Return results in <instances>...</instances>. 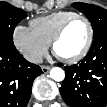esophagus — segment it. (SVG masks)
Returning <instances> with one entry per match:
<instances>
[{
	"instance_id": "34e87169",
	"label": "esophagus",
	"mask_w": 107,
	"mask_h": 107,
	"mask_svg": "<svg viewBox=\"0 0 107 107\" xmlns=\"http://www.w3.org/2000/svg\"><path fill=\"white\" fill-rule=\"evenodd\" d=\"M41 69H42V71H43L44 73H48L49 70L51 69V67H50V66H45V65H43V66H41Z\"/></svg>"
}]
</instances>
